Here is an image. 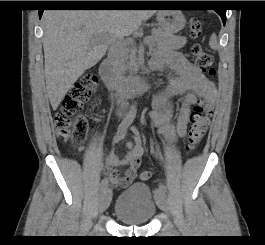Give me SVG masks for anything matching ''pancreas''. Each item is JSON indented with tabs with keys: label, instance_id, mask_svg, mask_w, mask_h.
<instances>
[{
	"label": "pancreas",
	"instance_id": "1",
	"mask_svg": "<svg viewBox=\"0 0 265 245\" xmlns=\"http://www.w3.org/2000/svg\"><path fill=\"white\" fill-rule=\"evenodd\" d=\"M149 39V46L159 50H178L184 47L187 42L186 37H177L161 29H153ZM129 59L127 68L133 70L136 66V53L134 48L130 49Z\"/></svg>",
	"mask_w": 265,
	"mask_h": 245
}]
</instances>
